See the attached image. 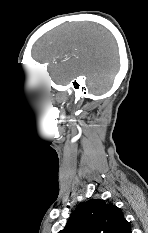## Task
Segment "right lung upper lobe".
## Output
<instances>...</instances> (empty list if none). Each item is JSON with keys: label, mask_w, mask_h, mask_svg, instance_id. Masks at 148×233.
<instances>
[{"label": "right lung upper lobe", "mask_w": 148, "mask_h": 233, "mask_svg": "<svg viewBox=\"0 0 148 233\" xmlns=\"http://www.w3.org/2000/svg\"><path fill=\"white\" fill-rule=\"evenodd\" d=\"M59 233H131L120 208L101 199L78 205Z\"/></svg>", "instance_id": "1"}]
</instances>
